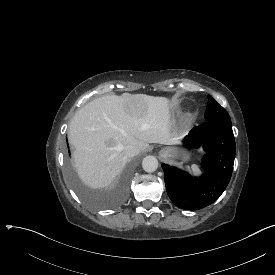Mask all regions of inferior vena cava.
<instances>
[{"mask_svg":"<svg viewBox=\"0 0 275 275\" xmlns=\"http://www.w3.org/2000/svg\"><path fill=\"white\" fill-rule=\"evenodd\" d=\"M124 154L131 158V157H134L135 155H138L139 154V151L137 150V148L133 145H127L125 148H124Z\"/></svg>","mask_w":275,"mask_h":275,"instance_id":"1","label":"inferior vena cava"}]
</instances>
